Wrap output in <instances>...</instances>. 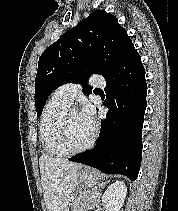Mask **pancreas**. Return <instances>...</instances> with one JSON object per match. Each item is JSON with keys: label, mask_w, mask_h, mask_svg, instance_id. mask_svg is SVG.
Masks as SVG:
<instances>
[{"label": "pancreas", "mask_w": 178, "mask_h": 211, "mask_svg": "<svg viewBox=\"0 0 178 211\" xmlns=\"http://www.w3.org/2000/svg\"><path fill=\"white\" fill-rule=\"evenodd\" d=\"M94 194L95 190L93 189L80 192L73 200L71 211H88L89 209L93 208L96 204V200L93 198Z\"/></svg>", "instance_id": "cf45deb5"}]
</instances>
